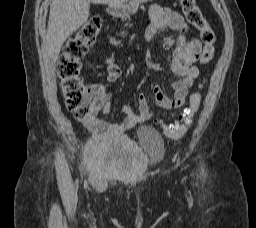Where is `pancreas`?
I'll return each mask as SVG.
<instances>
[{
  "label": "pancreas",
  "instance_id": "cf45deb5",
  "mask_svg": "<svg viewBox=\"0 0 256 228\" xmlns=\"http://www.w3.org/2000/svg\"><path fill=\"white\" fill-rule=\"evenodd\" d=\"M148 0H130L128 4V12L131 14L136 13L141 3L147 2Z\"/></svg>",
  "mask_w": 256,
  "mask_h": 228
}]
</instances>
